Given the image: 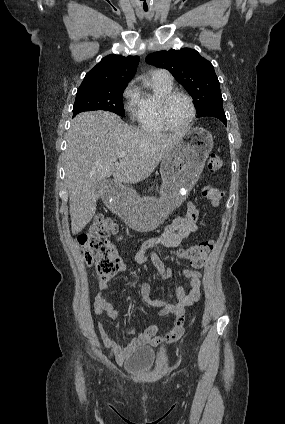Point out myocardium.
I'll return each mask as SVG.
<instances>
[{
  "mask_svg": "<svg viewBox=\"0 0 285 424\" xmlns=\"http://www.w3.org/2000/svg\"><path fill=\"white\" fill-rule=\"evenodd\" d=\"M176 96L184 97L188 101L190 108H191L190 118L187 121V123L182 127H176V126L172 125L169 122L168 116H167V107H168L170 101ZM158 111H159V118H160V121L162 122V124L168 130H171V131H174V132H185V131H187L192 126V124H193V122L196 118V114H197L196 107H195V104H194L192 97L190 95L184 93V92L177 91V90H172V91L166 93L164 96H162V98L159 101Z\"/></svg>",
  "mask_w": 285,
  "mask_h": 424,
  "instance_id": "myocardium-1",
  "label": "myocardium"
}]
</instances>
